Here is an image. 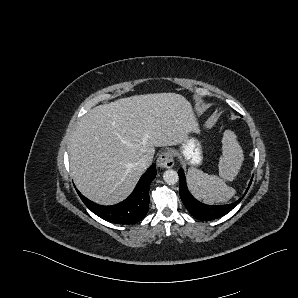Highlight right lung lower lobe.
<instances>
[{"mask_svg":"<svg viewBox=\"0 0 298 298\" xmlns=\"http://www.w3.org/2000/svg\"><path fill=\"white\" fill-rule=\"evenodd\" d=\"M156 176V164L140 178L132 194L123 202L113 206H101L85 198L78 190L84 204L102 219L116 224H133L142 220L149 208L150 183Z\"/></svg>","mask_w":298,"mask_h":298,"instance_id":"obj_1","label":"right lung lower lobe"}]
</instances>
